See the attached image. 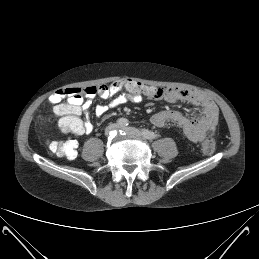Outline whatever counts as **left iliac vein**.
Returning <instances> with one entry per match:
<instances>
[{
  "label": "left iliac vein",
  "mask_w": 259,
  "mask_h": 259,
  "mask_svg": "<svg viewBox=\"0 0 259 259\" xmlns=\"http://www.w3.org/2000/svg\"><path fill=\"white\" fill-rule=\"evenodd\" d=\"M122 130H124L127 134L132 136H141L142 133L134 127H121Z\"/></svg>",
  "instance_id": "1"
}]
</instances>
